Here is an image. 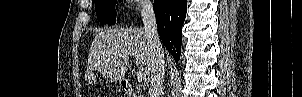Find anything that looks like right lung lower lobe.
Listing matches in <instances>:
<instances>
[{"instance_id":"obj_1","label":"right lung lower lobe","mask_w":302,"mask_h":97,"mask_svg":"<svg viewBox=\"0 0 302 97\" xmlns=\"http://www.w3.org/2000/svg\"><path fill=\"white\" fill-rule=\"evenodd\" d=\"M186 11V0H154L158 33L176 62L180 59Z\"/></svg>"}]
</instances>
